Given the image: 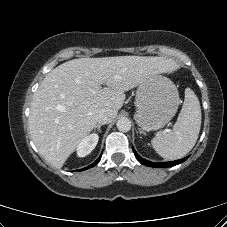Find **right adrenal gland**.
<instances>
[{
	"label": "right adrenal gland",
	"mask_w": 227,
	"mask_h": 227,
	"mask_svg": "<svg viewBox=\"0 0 227 227\" xmlns=\"http://www.w3.org/2000/svg\"><path fill=\"white\" fill-rule=\"evenodd\" d=\"M102 125H104V124H103V123H98V124L94 127V129H95V130L97 129L98 132L101 133L100 128H101Z\"/></svg>",
	"instance_id": "2a0ac1e0"
}]
</instances>
